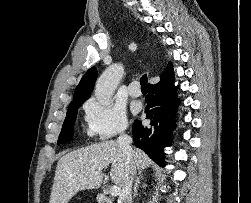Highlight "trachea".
<instances>
[{
  "instance_id": "3493384b",
  "label": "trachea",
  "mask_w": 251,
  "mask_h": 203,
  "mask_svg": "<svg viewBox=\"0 0 251 203\" xmlns=\"http://www.w3.org/2000/svg\"><path fill=\"white\" fill-rule=\"evenodd\" d=\"M147 82H148L147 75L144 74V75L140 78L141 90H147Z\"/></svg>"
}]
</instances>
